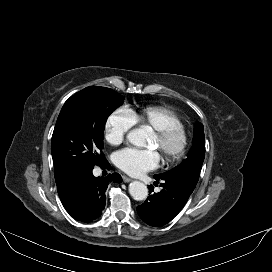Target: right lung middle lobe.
I'll list each match as a JSON object with an SVG mask.
<instances>
[{"label":"right lung middle lobe","mask_w":272,"mask_h":272,"mask_svg":"<svg viewBox=\"0 0 272 272\" xmlns=\"http://www.w3.org/2000/svg\"><path fill=\"white\" fill-rule=\"evenodd\" d=\"M123 102L122 95L99 86L87 87L65 102L51 141L54 165L64 177L75 179L106 161L102 152L105 124Z\"/></svg>","instance_id":"obj_1"}]
</instances>
